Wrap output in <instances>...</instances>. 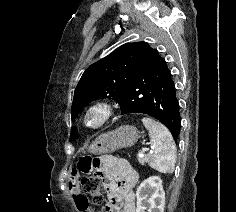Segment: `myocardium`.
Masks as SVG:
<instances>
[{"mask_svg":"<svg viewBox=\"0 0 236 212\" xmlns=\"http://www.w3.org/2000/svg\"><path fill=\"white\" fill-rule=\"evenodd\" d=\"M114 110L110 103L96 101L90 104L84 112L83 123L89 129H98L104 126L113 116ZM93 115H98L96 122L91 121Z\"/></svg>","mask_w":236,"mask_h":212,"instance_id":"obj_1","label":"myocardium"}]
</instances>
